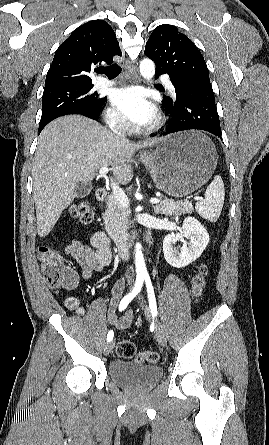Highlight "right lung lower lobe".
Listing matches in <instances>:
<instances>
[{"label":"right lung lower lobe","instance_id":"98d812e1","mask_svg":"<svg viewBox=\"0 0 269 445\" xmlns=\"http://www.w3.org/2000/svg\"><path fill=\"white\" fill-rule=\"evenodd\" d=\"M105 101H106V100H105ZM100 111H101V110H100ZM100 111H99V113L96 114V115L84 114V116L89 117V118L94 119V120H98V117H99V115H100ZM39 132H41V131L39 130Z\"/></svg>","mask_w":269,"mask_h":445}]
</instances>
